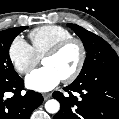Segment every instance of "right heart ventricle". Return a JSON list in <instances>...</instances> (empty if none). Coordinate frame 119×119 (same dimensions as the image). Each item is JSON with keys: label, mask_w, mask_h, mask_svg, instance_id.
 I'll return each mask as SVG.
<instances>
[{"label": "right heart ventricle", "mask_w": 119, "mask_h": 119, "mask_svg": "<svg viewBox=\"0 0 119 119\" xmlns=\"http://www.w3.org/2000/svg\"><path fill=\"white\" fill-rule=\"evenodd\" d=\"M32 48L39 58L53 48L59 42L73 37L72 33L59 25H44L35 28L29 33Z\"/></svg>", "instance_id": "e07e8e85"}]
</instances>
